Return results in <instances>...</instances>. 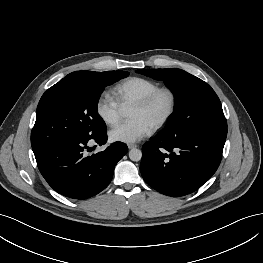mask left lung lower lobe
<instances>
[{
  "label": "left lung lower lobe",
  "mask_w": 263,
  "mask_h": 263,
  "mask_svg": "<svg viewBox=\"0 0 263 263\" xmlns=\"http://www.w3.org/2000/svg\"><path fill=\"white\" fill-rule=\"evenodd\" d=\"M226 136L227 128L189 134L159 133L143 145V179L168 196L196 191L216 172Z\"/></svg>",
  "instance_id": "0a47b994"
}]
</instances>
